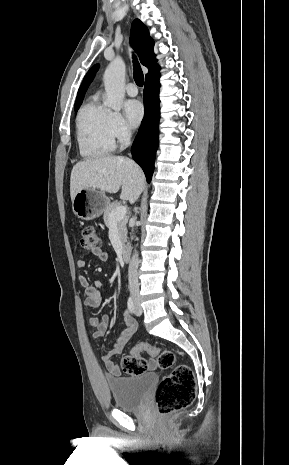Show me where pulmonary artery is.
Segmentation results:
<instances>
[{
  "instance_id": "obj_1",
  "label": "pulmonary artery",
  "mask_w": 289,
  "mask_h": 465,
  "mask_svg": "<svg viewBox=\"0 0 289 465\" xmlns=\"http://www.w3.org/2000/svg\"><path fill=\"white\" fill-rule=\"evenodd\" d=\"M126 92L129 96L134 97L138 94V89L134 83H128L126 85Z\"/></svg>"
}]
</instances>
